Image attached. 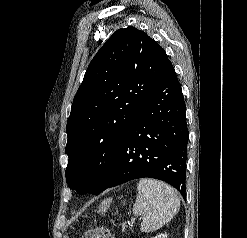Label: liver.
<instances>
[{
	"instance_id": "1",
	"label": "liver",
	"mask_w": 247,
	"mask_h": 238,
	"mask_svg": "<svg viewBox=\"0 0 247 238\" xmlns=\"http://www.w3.org/2000/svg\"><path fill=\"white\" fill-rule=\"evenodd\" d=\"M105 204H106V202H104V203L102 204V208L105 206Z\"/></svg>"
}]
</instances>
